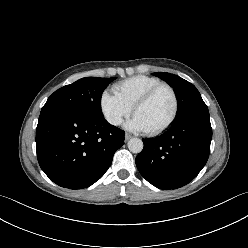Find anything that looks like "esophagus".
<instances>
[{"instance_id":"34e87169","label":"esophagus","mask_w":248,"mask_h":248,"mask_svg":"<svg viewBox=\"0 0 248 248\" xmlns=\"http://www.w3.org/2000/svg\"><path fill=\"white\" fill-rule=\"evenodd\" d=\"M130 138H132V135L129 134V133H126V134H125V140L127 141V140H129Z\"/></svg>"}]
</instances>
